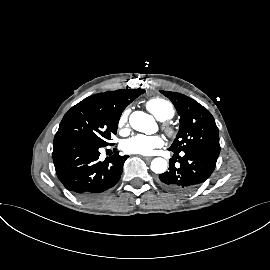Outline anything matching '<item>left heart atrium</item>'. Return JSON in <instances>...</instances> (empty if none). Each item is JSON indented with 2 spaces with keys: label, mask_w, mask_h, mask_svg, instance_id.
<instances>
[{
  "label": "left heart atrium",
  "mask_w": 270,
  "mask_h": 270,
  "mask_svg": "<svg viewBox=\"0 0 270 270\" xmlns=\"http://www.w3.org/2000/svg\"><path fill=\"white\" fill-rule=\"evenodd\" d=\"M163 146V139L158 135L138 134L123 142L122 148L128 154L150 155Z\"/></svg>",
  "instance_id": "1"
}]
</instances>
